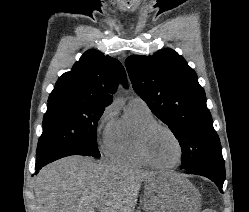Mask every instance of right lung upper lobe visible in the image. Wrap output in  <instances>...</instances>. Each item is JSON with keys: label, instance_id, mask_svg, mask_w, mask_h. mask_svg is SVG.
Segmentation results:
<instances>
[{"label": "right lung upper lobe", "instance_id": "cb5924a9", "mask_svg": "<svg viewBox=\"0 0 249 212\" xmlns=\"http://www.w3.org/2000/svg\"><path fill=\"white\" fill-rule=\"evenodd\" d=\"M119 83L126 87V74L121 63L90 49L70 72L58 79L48 100L79 99L106 107L112 102Z\"/></svg>", "mask_w": 249, "mask_h": 212}]
</instances>
